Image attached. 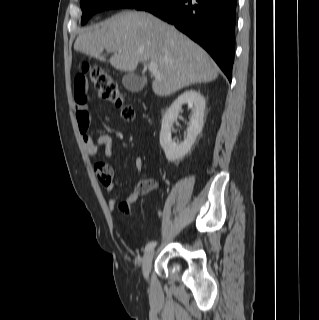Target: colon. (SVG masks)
<instances>
[{
  "mask_svg": "<svg viewBox=\"0 0 319 320\" xmlns=\"http://www.w3.org/2000/svg\"><path fill=\"white\" fill-rule=\"evenodd\" d=\"M86 74L89 75L94 88L103 99L115 103L118 107L121 108V114L125 120H132L134 118V109L131 106L124 104L123 96L118 88V85L107 70L93 67L87 63L83 64L82 73L75 78L76 86L86 84ZM103 170L109 172L111 170V167L106 163H97L95 165L96 173ZM98 179L100 181H103L104 176H100ZM150 188L151 185L149 183L141 184V189L144 191ZM119 207L122 210H128L129 205L126 202H122Z\"/></svg>",
  "mask_w": 319,
  "mask_h": 320,
  "instance_id": "colon-1",
  "label": "colon"
}]
</instances>
